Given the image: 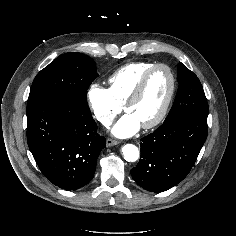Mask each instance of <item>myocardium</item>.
Returning a JSON list of instances; mask_svg holds the SVG:
<instances>
[{
  "mask_svg": "<svg viewBox=\"0 0 236 236\" xmlns=\"http://www.w3.org/2000/svg\"><path fill=\"white\" fill-rule=\"evenodd\" d=\"M158 69H164L167 71V73L169 74L170 77V89H169V93L168 96L166 98V101L160 111V113L158 114V116L152 120L149 123L143 124L142 127L144 129H152L156 126H158L166 117L170 106L172 104L174 95H175V91H176V77L175 74L173 72V70L166 64H155L152 67H150L140 78L139 82L137 83L136 87L134 88V90L132 91V93L130 94V96L128 97V99L125 101L124 103V109L127 110V108L135 103L140 96L142 95L145 86L147 84L148 79L150 78V76L153 74V72H155Z\"/></svg>",
  "mask_w": 236,
  "mask_h": 236,
  "instance_id": "obj_1",
  "label": "myocardium"
}]
</instances>
